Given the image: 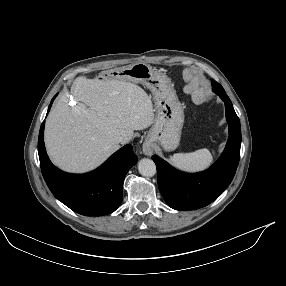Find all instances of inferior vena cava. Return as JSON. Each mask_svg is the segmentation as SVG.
<instances>
[{
  "instance_id": "1",
  "label": "inferior vena cava",
  "mask_w": 286,
  "mask_h": 286,
  "mask_svg": "<svg viewBox=\"0 0 286 286\" xmlns=\"http://www.w3.org/2000/svg\"><path fill=\"white\" fill-rule=\"evenodd\" d=\"M118 143L124 144V143H126V141L124 140L123 137H120V138L118 139Z\"/></svg>"
}]
</instances>
